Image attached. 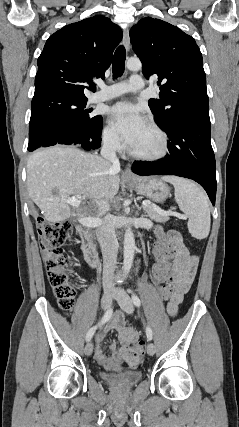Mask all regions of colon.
I'll return each mask as SVG.
<instances>
[{"label": "colon", "mask_w": 239, "mask_h": 427, "mask_svg": "<svg viewBox=\"0 0 239 427\" xmlns=\"http://www.w3.org/2000/svg\"><path fill=\"white\" fill-rule=\"evenodd\" d=\"M36 226L49 283L59 307L69 311L74 305L77 287L71 281L73 271L67 266V254L63 246L72 237V225L69 222H49L43 217H38ZM154 229L151 252L154 257L151 267L152 286L159 298H167L173 266L172 255L168 252L169 233L162 230L159 224ZM121 354L129 366L136 367L143 359L144 345L139 342L133 347L123 348Z\"/></svg>", "instance_id": "colon-1"}]
</instances>
